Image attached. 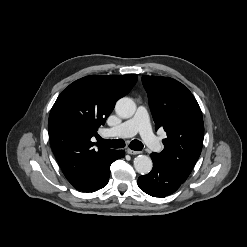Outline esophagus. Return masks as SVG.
Returning <instances> with one entry per match:
<instances>
[{
	"label": "esophagus",
	"instance_id": "obj_1",
	"mask_svg": "<svg viewBox=\"0 0 247 247\" xmlns=\"http://www.w3.org/2000/svg\"><path fill=\"white\" fill-rule=\"evenodd\" d=\"M126 151H127L128 154H131V155H137V154L140 153L139 151H135V150H132V149H129V148Z\"/></svg>",
	"mask_w": 247,
	"mask_h": 247
}]
</instances>
